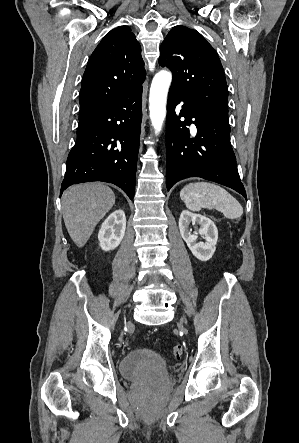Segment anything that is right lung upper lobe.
<instances>
[{
	"label": "right lung upper lobe",
	"instance_id": "right-lung-upper-lobe-1",
	"mask_svg": "<svg viewBox=\"0 0 299 443\" xmlns=\"http://www.w3.org/2000/svg\"><path fill=\"white\" fill-rule=\"evenodd\" d=\"M141 47L128 26L111 30L92 53L80 91L79 122L142 86Z\"/></svg>",
	"mask_w": 299,
	"mask_h": 443
}]
</instances>
